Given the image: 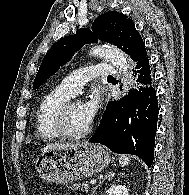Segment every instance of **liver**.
Here are the masks:
<instances>
[{"mask_svg": "<svg viewBox=\"0 0 189 195\" xmlns=\"http://www.w3.org/2000/svg\"><path fill=\"white\" fill-rule=\"evenodd\" d=\"M83 143L80 144H59V143H52L47 144L44 148L41 149L42 153H46L52 150H60V149H67V148H75L79 146H83Z\"/></svg>", "mask_w": 189, "mask_h": 195, "instance_id": "obj_1", "label": "liver"}]
</instances>
